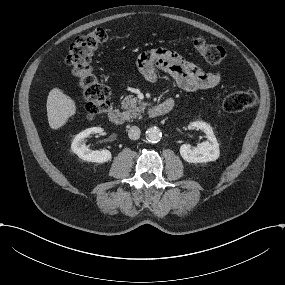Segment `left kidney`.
I'll list each match as a JSON object with an SVG mask.
<instances>
[{
    "label": "left kidney",
    "mask_w": 285,
    "mask_h": 285,
    "mask_svg": "<svg viewBox=\"0 0 285 285\" xmlns=\"http://www.w3.org/2000/svg\"><path fill=\"white\" fill-rule=\"evenodd\" d=\"M194 126L207 136L208 141L199 144L194 151H192L188 145H182L180 147V156L183 160L191 164H203L217 161L220 156L219 145L211 126L203 122H197Z\"/></svg>",
    "instance_id": "obj_1"
}]
</instances>
